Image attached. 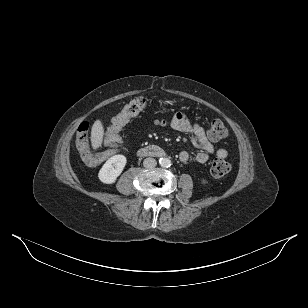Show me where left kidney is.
Instances as JSON below:
<instances>
[{
  "mask_svg": "<svg viewBox=\"0 0 308 308\" xmlns=\"http://www.w3.org/2000/svg\"><path fill=\"white\" fill-rule=\"evenodd\" d=\"M202 184H206L207 182H206V180H204V179H202Z\"/></svg>",
  "mask_w": 308,
  "mask_h": 308,
  "instance_id": "5707ae66",
  "label": "left kidney"
}]
</instances>
